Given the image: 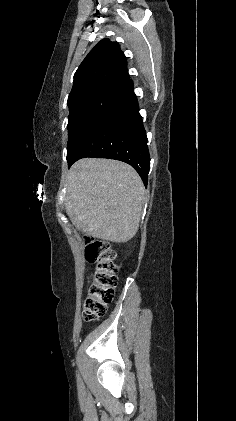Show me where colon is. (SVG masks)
<instances>
[{"label":"colon","instance_id":"obj_1","mask_svg":"<svg viewBox=\"0 0 236 421\" xmlns=\"http://www.w3.org/2000/svg\"><path fill=\"white\" fill-rule=\"evenodd\" d=\"M86 259L94 264L90 275V283L83 304V318L94 321L107 311L114 297L117 285L118 265L116 253L104 240L87 239Z\"/></svg>","mask_w":236,"mask_h":421}]
</instances>
